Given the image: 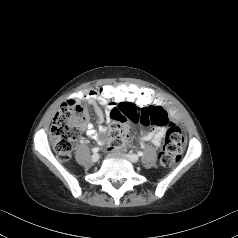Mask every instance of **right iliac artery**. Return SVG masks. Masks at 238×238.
Listing matches in <instances>:
<instances>
[{"label": "right iliac artery", "mask_w": 238, "mask_h": 238, "mask_svg": "<svg viewBox=\"0 0 238 238\" xmlns=\"http://www.w3.org/2000/svg\"><path fill=\"white\" fill-rule=\"evenodd\" d=\"M98 151H99V148H98V147H95V148L92 149V152H93V153H97Z\"/></svg>", "instance_id": "82829eb1"}]
</instances>
